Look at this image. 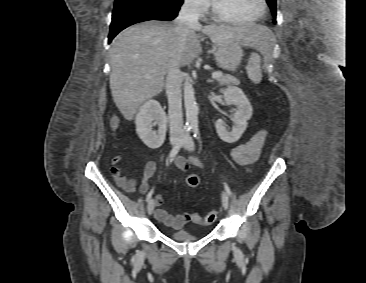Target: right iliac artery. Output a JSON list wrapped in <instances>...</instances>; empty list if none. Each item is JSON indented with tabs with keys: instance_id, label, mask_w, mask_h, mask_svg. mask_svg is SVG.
Wrapping results in <instances>:
<instances>
[{
	"instance_id": "right-iliac-artery-1",
	"label": "right iliac artery",
	"mask_w": 366,
	"mask_h": 283,
	"mask_svg": "<svg viewBox=\"0 0 366 283\" xmlns=\"http://www.w3.org/2000/svg\"><path fill=\"white\" fill-rule=\"evenodd\" d=\"M192 130V126H186L185 127V134L184 137L182 139V141L180 143H178L176 146L173 147V149L170 152V156H169V162H172L175 155L179 152L181 146L184 144L186 138L189 136V133ZM153 194V189L148 193L147 197H146V201H149L150 198L152 197Z\"/></svg>"
}]
</instances>
